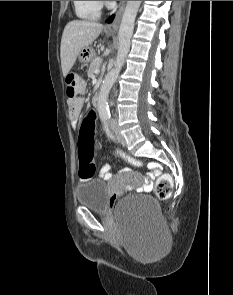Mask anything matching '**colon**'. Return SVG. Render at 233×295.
<instances>
[{"label": "colon", "mask_w": 233, "mask_h": 295, "mask_svg": "<svg viewBox=\"0 0 233 295\" xmlns=\"http://www.w3.org/2000/svg\"><path fill=\"white\" fill-rule=\"evenodd\" d=\"M66 94L69 99L81 97L85 92V82L78 75L70 73L66 79ZM94 122L90 116L86 118L82 124L81 135L79 140V176L81 179H89L94 176L96 165L94 162V138H93ZM116 155L126 160L128 163L139 166L140 162L121 152H116ZM173 181L170 175H161L155 184V193L159 199L165 200L171 196Z\"/></svg>", "instance_id": "colon-1"}]
</instances>
